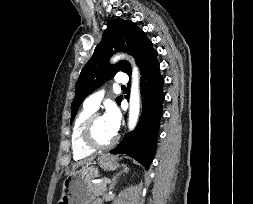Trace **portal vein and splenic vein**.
<instances>
[{"instance_id": "obj_1", "label": "portal vein and splenic vein", "mask_w": 253, "mask_h": 204, "mask_svg": "<svg viewBox=\"0 0 253 204\" xmlns=\"http://www.w3.org/2000/svg\"><path fill=\"white\" fill-rule=\"evenodd\" d=\"M105 183H110V180H105Z\"/></svg>"}]
</instances>
